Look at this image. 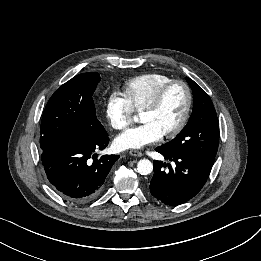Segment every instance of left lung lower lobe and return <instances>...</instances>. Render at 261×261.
<instances>
[{
    "label": "left lung lower lobe",
    "mask_w": 261,
    "mask_h": 261,
    "mask_svg": "<svg viewBox=\"0 0 261 261\" xmlns=\"http://www.w3.org/2000/svg\"><path fill=\"white\" fill-rule=\"evenodd\" d=\"M156 151L165 159L174 161L169 171H164L166 163L155 160L154 176L150 182V192L161 203L168 206H177L193 198L206 183L211 166L195 160L184 152H169L160 146Z\"/></svg>",
    "instance_id": "obj_1"
}]
</instances>
